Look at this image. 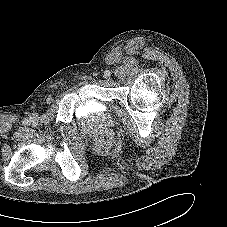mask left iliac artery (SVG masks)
I'll list each match as a JSON object with an SVG mask.
<instances>
[{
  "mask_svg": "<svg viewBox=\"0 0 227 227\" xmlns=\"http://www.w3.org/2000/svg\"><path fill=\"white\" fill-rule=\"evenodd\" d=\"M110 75H111V72L107 70V71L105 72V76H110Z\"/></svg>",
  "mask_w": 227,
  "mask_h": 227,
  "instance_id": "1",
  "label": "left iliac artery"
}]
</instances>
